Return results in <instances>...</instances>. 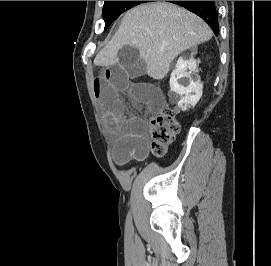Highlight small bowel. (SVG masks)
Listing matches in <instances>:
<instances>
[{"label": "small bowel", "instance_id": "small-bowel-1", "mask_svg": "<svg viewBox=\"0 0 271 266\" xmlns=\"http://www.w3.org/2000/svg\"><path fill=\"white\" fill-rule=\"evenodd\" d=\"M145 73L144 63L129 54L125 61L107 65L94 79V94L103 120L114 137V160L118 165L141 160L148 151L146 123L136 116L125 117L121 95L126 94L137 108L145 106L151 112L159 110L164 101L154 85L133 82Z\"/></svg>", "mask_w": 271, "mask_h": 266}]
</instances>
